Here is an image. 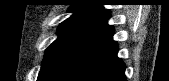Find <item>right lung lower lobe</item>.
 Here are the masks:
<instances>
[{"label": "right lung lower lobe", "mask_w": 169, "mask_h": 81, "mask_svg": "<svg viewBox=\"0 0 169 81\" xmlns=\"http://www.w3.org/2000/svg\"><path fill=\"white\" fill-rule=\"evenodd\" d=\"M110 15L77 29L42 65L37 81H126Z\"/></svg>", "instance_id": "obj_1"}]
</instances>
